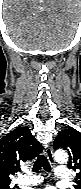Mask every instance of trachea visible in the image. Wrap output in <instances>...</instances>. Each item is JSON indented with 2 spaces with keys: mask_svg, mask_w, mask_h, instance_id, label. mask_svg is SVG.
<instances>
[{
  "mask_svg": "<svg viewBox=\"0 0 81 189\" xmlns=\"http://www.w3.org/2000/svg\"><path fill=\"white\" fill-rule=\"evenodd\" d=\"M44 168L45 171L51 172V166L48 162V159L44 155H39L33 165L32 171L37 172L41 168Z\"/></svg>",
  "mask_w": 81,
  "mask_h": 189,
  "instance_id": "trachea-1",
  "label": "trachea"
}]
</instances>
